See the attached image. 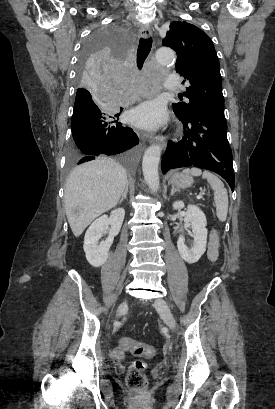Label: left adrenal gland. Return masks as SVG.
<instances>
[{
    "label": "left adrenal gland",
    "mask_w": 275,
    "mask_h": 409,
    "mask_svg": "<svg viewBox=\"0 0 275 409\" xmlns=\"http://www.w3.org/2000/svg\"><path fill=\"white\" fill-rule=\"evenodd\" d=\"M176 190H179V188H175V186H173V184H172V188H171L170 194H174V192H176Z\"/></svg>",
    "instance_id": "a2214340"
}]
</instances>
